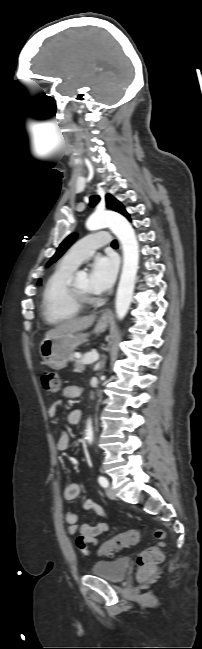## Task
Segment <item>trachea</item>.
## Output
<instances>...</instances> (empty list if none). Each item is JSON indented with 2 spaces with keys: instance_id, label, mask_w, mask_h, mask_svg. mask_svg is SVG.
<instances>
[{
  "instance_id": "1",
  "label": "trachea",
  "mask_w": 202,
  "mask_h": 649,
  "mask_svg": "<svg viewBox=\"0 0 202 649\" xmlns=\"http://www.w3.org/2000/svg\"><path fill=\"white\" fill-rule=\"evenodd\" d=\"M111 245H112V246H117V245H118V243H117V241H116V240H113V241H112V243H111Z\"/></svg>"
}]
</instances>
